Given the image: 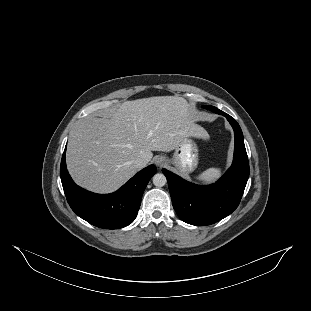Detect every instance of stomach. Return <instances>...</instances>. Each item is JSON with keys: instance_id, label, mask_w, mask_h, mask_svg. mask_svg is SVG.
Here are the masks:
<instances>
[{"instance_id": "stomach-1", "label": "stomach", "mask_w": 311, "mask_h": 311, "mask_svg": "<svg viewBox=\"0 0 311 311\" xmlns=\"http://www.w3.org/2000/svg\"><path fill=\"white\" fill-rule=\"evenodd\" d=\"M199 162V149L196 142L191 138L184 140L175 148L171 163L181 175L193 172Z\"/></svg>"}]
</instances>
